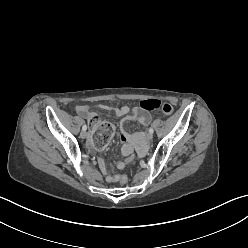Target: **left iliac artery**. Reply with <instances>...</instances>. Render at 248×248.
I'll return each mask as SVG.
<instances>
[{
    "label": "left iliac artery",
    "mask_w": 248,
    "mask_h": 248,
    "mask_svg": "<svg viewBox=\"0 0 248 248\" xmlns=\"http://www.w3.org/2000/svg\"><path fill=\"white\" fill-rule=\"evenodd\" d=\"M149 133H153V128H149Z\"/></svg>",
    "instance_id": "1"
}]
</instances>
